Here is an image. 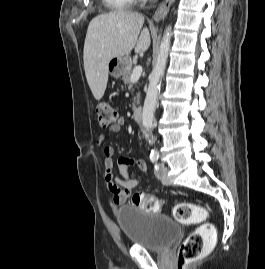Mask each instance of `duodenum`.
Returning a JSON list of instances; mask_svg holds the SVG:
<instances>
[{"mask_svg":"<svg viewBox=\"0 0 265 269\" xmlns=\"http://www.w3.org/2000/svg\"><path fill=\"white\" fill-rule=\"evenodd\" d=\"M143 118V109L141 107H137L133 111V119L136 122H141Z\"/></svg>","mask_w":265,"mask_h":269,"instance_id":"1","label":"duodenum"}]
</instances>
